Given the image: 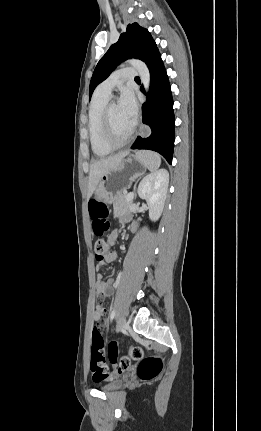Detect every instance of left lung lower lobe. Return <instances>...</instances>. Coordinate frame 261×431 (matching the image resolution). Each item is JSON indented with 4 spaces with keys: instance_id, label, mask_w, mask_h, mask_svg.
Wrapping results in <instances>:
<instances>
[{
    "instance_id": "left-lung-lower-lobe-1",
    "label": "left lung lower lobe",
    "mask_w": 261,
    "mask_h": 431,
    "mask_svg": "<svg viewBox=\"0 0 261 431\" xmlns=\"http://www.w3.org/2000/svg\"><path fill=\"white\" fill-rule=\"evenodd\" d=\"M150 71L148 103L143 104V123L151 132L148 136H138L132 149H148L160 153L168 163H172L174 148L175 119L173 99L168 77L159 51H155L146 62ZM141 91L145 93L144 88Z\"/></svg>"
}]
</instances>
